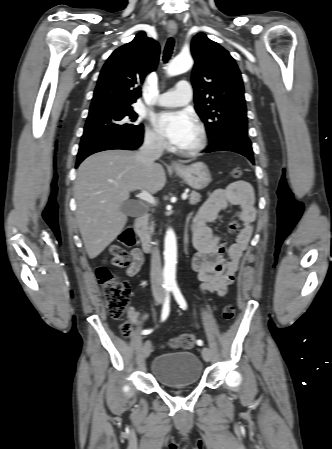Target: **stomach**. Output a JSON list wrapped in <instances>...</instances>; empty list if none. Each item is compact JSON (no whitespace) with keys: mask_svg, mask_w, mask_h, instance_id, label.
<instances>
[{"mask_svg":"<svg viewBox=\"0 0 332 449\" xmlns=\"http://www.w3.org/2000/svg\"><path fill=\"white\" fill-rule=\"evenodd\" d=\"M174 171L195 190H202L211 182L209 169L203 162L175 168Z\"/></svg>","mask_w":332,"mask_h":449,"instance_id":"1","label":"stomach"}]
</instances>
